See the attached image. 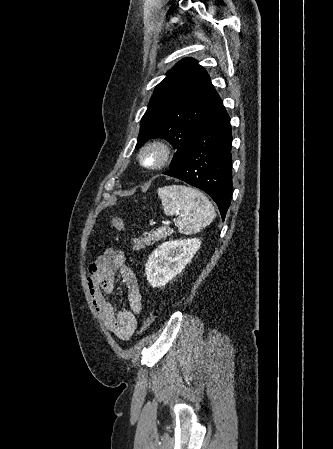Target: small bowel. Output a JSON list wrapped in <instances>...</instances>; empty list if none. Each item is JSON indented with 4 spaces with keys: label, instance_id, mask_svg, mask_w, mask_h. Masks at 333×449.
I'll use <instances>...</instances> for the list:
<instances>
[{
    "label": "small bowel",
    "instance_id": "c3829d8e",
    "mask_svg": "<svg viewBox=\"0 0 333 449\" xmlns=\"http://www.w3.org/2000/svg\"><path fill=\"white\" fill-rule=\"evenodd\" d=\"M119 276L126 290L128 307L117 309L108 298L114 292ZM87 283L93 306L106 328L122 340H128L137 329L142 295L135 273L126 264L121 251L107 249L87 269Z\"/></svg>",
    "mask_w": 333,
    "mask_h": 449
}]
</instances>
